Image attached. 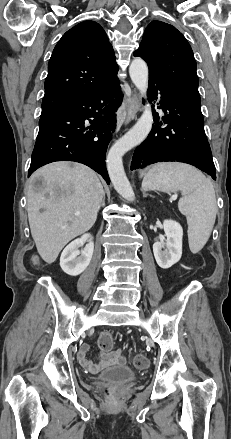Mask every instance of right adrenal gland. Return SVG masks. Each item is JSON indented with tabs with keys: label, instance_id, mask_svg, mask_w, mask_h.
Returning a JSON list of instances; mask_svg holds the SVG:
<instances>
[{
	"label": "right adrenal gland",
	"instance_id": "obj_1",
	"mask_svg": "<svg viewBox=\"0 0 231 439\" xmlns=\"http://www.w3.org/2000/svg\"><path fill=\"white\" fill-rule=\"evenodd\" d=\"M100 206H102V207L105 206V193H104V195H103V199H102V202H101V205H100Z\"/></svg>",
	"mask_w": 231,
	"mask_h": 439
}]
</instances>
